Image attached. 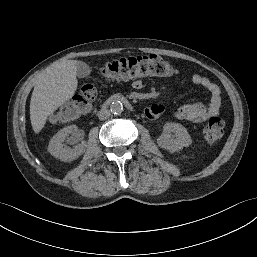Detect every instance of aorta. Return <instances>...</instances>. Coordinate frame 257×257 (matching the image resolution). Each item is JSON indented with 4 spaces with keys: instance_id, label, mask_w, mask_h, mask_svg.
<instances>
[{
    "instance_id": "762f6f07",
    "label": "aorta",
    "mask_w": 257,
    "mask_h": 257,
    "mask_svg": "<svg viewBox=\"0 0 257 257\" xmlns=\"http://www.w3.org/2000/svg\"><path fill=\"white\" fill-rule=\"evenodd\" d=\"M110 111L113 114H120L123 111V104L120 101L112 102L110 105Z\"/></svg>"
}]
</instances>
